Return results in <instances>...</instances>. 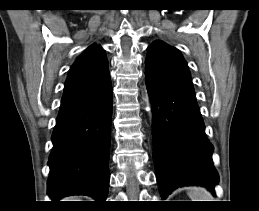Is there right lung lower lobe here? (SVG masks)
Wrapping results in <instances>:
<instances>
[{
  "mask_svg": "<svg viewBox=\"0 0 259 211\" xmlns=\"http://www.w3.org/2000/svg\"><path fill=\"white\" fill-rule=\"evenodd\" d=\"M112 87L71 104L61 105L52 134L48 194L52 201L68 195L106 199Z\"/></svg>",
  "mask_w": 259,
  "mask_h": 211,
  "instance_id": "right-lung-lower-lobe-1",
  "label": "right lung lower lobe"
}]
</instances>
